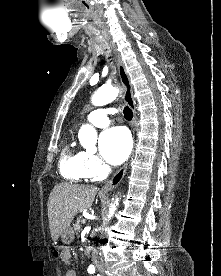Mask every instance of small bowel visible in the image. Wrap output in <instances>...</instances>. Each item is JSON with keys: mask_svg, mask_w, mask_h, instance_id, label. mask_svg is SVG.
<instances>
[{"mask_svg": "<svg viewBox=\"0 0 221 276\" xmlns=\"http://www.w3.org/2000/svg\"><path fill=\"white\" fill-rule=\"evenodd\" d=\"M70 259H71V253H70V251L69 250L63 251V253L61 255V260L65 264H68L70 262ZM65 276H77V274H76L75 270L68 269Z\"/></svg>", "mask_w": 221, "mask_h": 276, "instance_id": "1", "label": "small bowel"}]
</instances>
